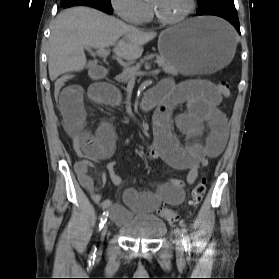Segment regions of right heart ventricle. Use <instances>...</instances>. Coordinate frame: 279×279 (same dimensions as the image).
Masks as SVG:
<instances>
[{"mask_svg":"<svg viewBox=\"0 0 279 279\" xmlns=\"http://www.w3.org/2000/svg\"><path fill=\"white\" fill-rule=\"evenodd\" d=\"M151 18H152V14H151V11L149 9V11H148L147 15L145 16L143 22L150 21Z\"/></svg>","mask_w":279,"mask_h":279,"instance_id":"obj_1","label":"right heart ventricle"}]
</instances>
